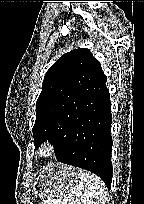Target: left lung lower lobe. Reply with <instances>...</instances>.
<instances>
[{"label": "left lung lower lobe", "mask_w": 144, "mask_h": 204, "mask_svg": "<svg viewBox=\"0 0 144 204\" xmlns=\"http://www.w3.org/2000/svg\"><path fill=\"white\" fill-rule=\"evenodd\" d=\"M106 81L107 77L102 71L96 73L86 88V100L80 113L72 121L64 140L58 142L54 150L58 161L95 173L110 189L112 115Z\"/></svg>", "instance_id": "0a47b994"}]
</instances>
